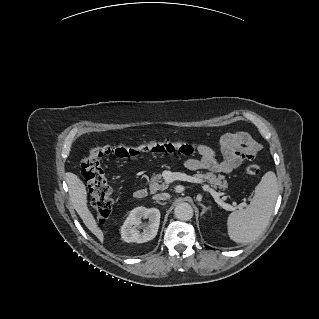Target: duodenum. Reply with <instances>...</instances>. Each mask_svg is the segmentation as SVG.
<instances>
[{
  "instance_id": "410a0bca",
  "label": "duodenum",
  "mask_w": 319,
  "mask_h": 319,
  "mask_svg": "<svg viewBox=\"0 0 319 319\" xmlns=\"http://www.w3.org/2000/svg\"><path fill=\"white\" fill-rule=\"evenodd\" d=\"M147 195H148V192L144 188L137 189L133 194L134 198L137 200L145 199Z\"/></svg>"
}]
</instances>
